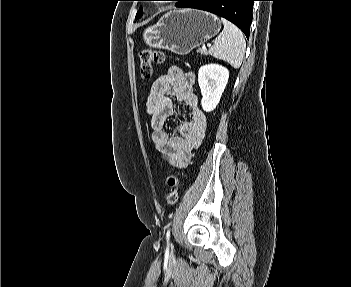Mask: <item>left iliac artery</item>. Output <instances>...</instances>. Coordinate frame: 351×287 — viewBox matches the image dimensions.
Listing matches in <instances>:
<instances>
[{"mask_svg": "<svg viewBox=\"0 0 351 287\" xmlns=\"http://www.w3.org/2000/svg\"><path fill=\"white\" fill-rule=\"evenodd\" d=\"M169 235H170V231L167 232V236H168V237H169Z\"/></svg>", "mask_w": 351, "mask_h": 287, "instance_id": "1", "label": "left iliac artery"}]
</instances>
